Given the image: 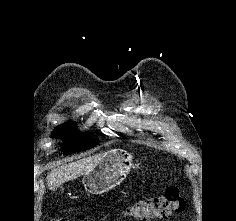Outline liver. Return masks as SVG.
<instances>
[{"instance_id":"1","label":"liver","mask_w":236,"mask_h":221,"mask_svg":"<svg viewBox=\"0 0 236 221\" xmlns=\"http://www.w3.org/2000/svg\"><path fill=\"white\" fill-rule=\"evenodd\" d=\"M106 154V152L99 153L94 156L82 158L54 168L47 176L49 189L56 190L63 183L73 180L91 171Z\"/></svg>"}]
</instances>
